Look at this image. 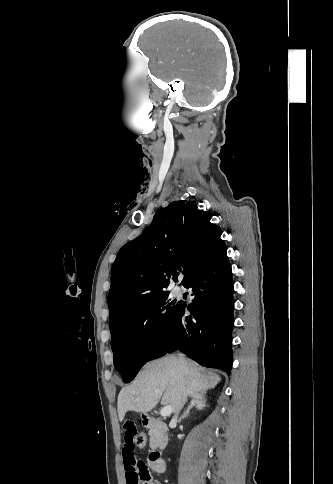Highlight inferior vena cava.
<instances>
[{
  "label": "inferior vena cava",
  "mask_w": 333,
  "mask_h": 484,
  "mask_svg": "<svg viewBox=\"0 0 333 484\" xmlns=\"http://www.w3.org/2000/svg\"><path fill=\"white\" fill-rule=\"evenodd\" d=\"M179 361L183 367L186 366L187 361L183 356L179 355ZM177 416H178V413L172 418V422H177Z\"/></svg>",
  "instance_id": "1"
}]
</instances>
